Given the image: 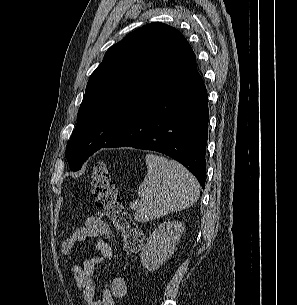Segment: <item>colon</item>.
<instances>
[{
    "instance_id": "5ec220e1",
    "label": "colon",
    "mask_w": 297,
    "mask_h": 305,
    "mask_svg": "<svg viewBox=\"0 0 297 305\" xmlns=\"http://www.w3.org/2000/svg\"><path fill=\"white\" fill-rule=\"evenodd\" d=\"M92 180L96 204L120 233L124 250L127 253L138 252L143 244L142 232L121 202L119 194L114 189L109 169L104 162L96 163Z\"/></svg>"
}]
</instances>
